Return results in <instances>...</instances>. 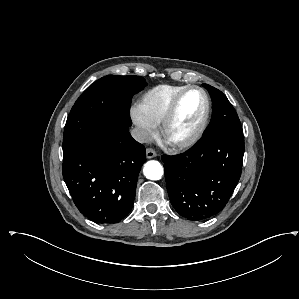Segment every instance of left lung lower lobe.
I'll return each instance as SVG.
<instances>
[{
	"mask_svg": "<svg viewBox=\"0 0 299 299\" xmlns=\"http://www.w3.org/2000/svg\"><path fill=\"white\" fill-rule=\"evenodd\" d=\"M243 155V134L219 132L203 136L185 153L162 156L175 210L195 221L222 210L240 179Z\"/></svg>",
	"mask_w": 299,
	"mask_h": 299,
	"instance_id": "left-lung-lower-lobe-1",
	"label": "left lung lower lobe"
}]
</instances>
